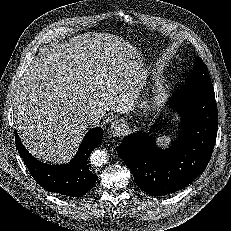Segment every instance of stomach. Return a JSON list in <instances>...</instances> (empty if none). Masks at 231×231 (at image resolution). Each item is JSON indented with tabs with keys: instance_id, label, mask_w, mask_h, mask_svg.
<instances>
[{
	"instance_id": "stomach-1",
	"label": "stomach",
	"mask_w": 231,
	"mask_h": 231,
	"mask_svg": "<svg viewBox=\"0 0 231 231\" xmlns=\"http://www.w3.org/2000/svg\"><path fill=\"white\" fill-rule=\"evenodd\" d=\"M138 80H139V86L141 88L142 91L147 90V84H148V74L145 70H140L139 76H138ZM151 105H152V100L147 96V94L144 92L141 96L140 99L138 101V108H139V116H140V120H146L148 115H149V111L151 109Z\"/></svg>"
}]
</instances>
